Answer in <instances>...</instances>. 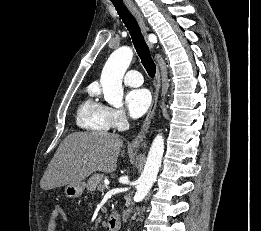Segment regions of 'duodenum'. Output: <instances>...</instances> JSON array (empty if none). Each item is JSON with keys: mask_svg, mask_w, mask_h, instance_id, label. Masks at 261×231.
<instances>
[{"mask_svg": "<svg viewBox=\"0 0 261 231\" xmlns=\"http://www.w3.org/2000/svg\"><path fill=\"white\" fill-rule=\"evenodd\" d=\"M121 225V215L113 213L106 220L105 226L108 231H118Z\"/></svg>", "mask_w": 261, "mask_h": 231, "instance_id": "410a0bca", "label": "duodenum"}]
</instances>
